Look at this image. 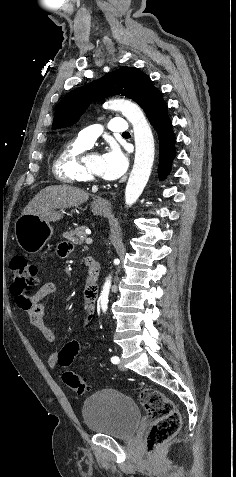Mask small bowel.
Returning <instances> with one entry per match:
<instances>
[{"instance_id": "1", "label": "small bowel", "mask_w": 236, "mask_h": 477, "mask_svg": "<svg viewBox=\"0 0 236 477\" xmlns=\"http://www.w3.org/2000/svg\"><path fill=\"white\" fill-rule=\"evenodd\" d=\"M71 251V245L63 243L58 249L60 257L67 256ZM56 283L54 281H46L42 284L39 290L33 295H25L21 297L18 306L23 309L28 316L31 326L37 328L45 340L54 343L56 341L55 333L44 323V314L49 299L56 292ZM96 289L88 285L85 288V301H84V319L83 325H87L92 318L93 305L96 299ZM58 355L56 352L51 353L48 356L47 362L51 367L57 365Z\"/></svg>"}]
</instances>
